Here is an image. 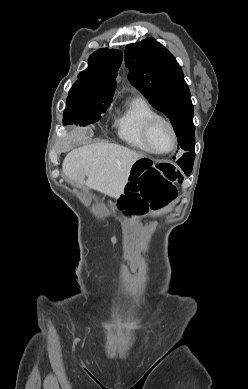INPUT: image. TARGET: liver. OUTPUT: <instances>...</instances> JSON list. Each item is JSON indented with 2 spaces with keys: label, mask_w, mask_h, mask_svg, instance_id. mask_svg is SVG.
<instances>
[{
  "label": "liver",
  "mask_w": 248,
  "mask_h": 389,
  "mask_svg": "<svg viewBox=\"0 0 248 389\" xmlns=\"http://www.w3.org/2000/svg\"><path fill=\"white\" fill-rule=\"evenodd\" d=\"M143 157L114 143H94L68 153L62 170L78 187L86 185L117 198L124 192L133 164Z\"/></svg>",
  "instance_id": "6515ba94"
}]
</instances>
